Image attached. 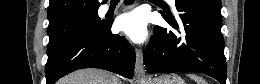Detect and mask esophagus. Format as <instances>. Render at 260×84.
I'll use <instances>...</instances> for the list:
<instances>
[{
    "label": "esophagus",
    "instance_id": "obj_1",
    "mask_svg": "<svg viewBox=\"0 0 260 84\" xmlns=\"http://www.w3.org/2000/svg\"><path fill=\"white\" fill-rule=\"evenodd\" d=\"M134 75L138 83H142L148 78L146 69L143 64V51L141 48L136 49V63H135Z\"/></svg>",
    "mask_w": 260,
    "mask_h": 84
}]
</instances>
